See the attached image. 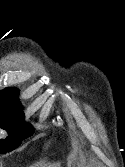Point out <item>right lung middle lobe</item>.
<instances>
[{
	"instance_id": "dd1d6c3e",
	"label": "right lung middle lobe",
	"mask_w": 125,
	"mask_h": 167,
	"mask_svg": "<svg viewBox=\"0 0 125 167\" xmlns=\"http://www.w3.org/2000/svg\"><path fill=\"white\" fill-rule=\"evenodd\" d=\"M0 127L9 131V135L0 141L4 146L18 147L22 140L30 137L34 129L24 123L23 107L18 100L0 98Z\"/></svg>"
}]
</instances>
